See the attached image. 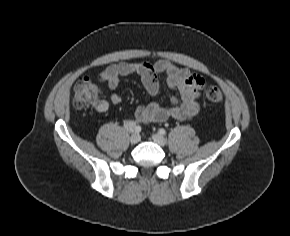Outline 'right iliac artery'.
I'll return each mask as SVG.
<instances>
[{"mask_svg":"<svg viewBox=\"0 0 290 236\" xmlns=\"http://www.w3.org/2000/svg\"><path fill=\"white\" fill-rule=\"evenodd\" d=\"M133 131L139 133V132H141V127L139 125L136 126L135 130H133Z\"/></svg>","mask_w":290,"mask_h":236,"instance_id":"right-iliac-artery-1","label":"right iliac artery"}]
</instances>
